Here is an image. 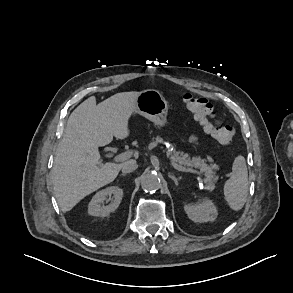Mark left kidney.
<instances>
[{"mask_svg": "<svg viewBox=\"0 0 293 293\" xmlns=\"http://www.w3.org/2000/svg\"><path fill=\"white\" fill-rule=\"evenodd\" d=\"M184 210L189 219L199 223L214 221L218 215L215 205L208 198L199 200L196 203H187L184 205Z\"/></svg>", "mask_w": 293, "mask_h": 293, "instance_id": "left-kidney-1", "label": "left kidney"}]
</instances>
